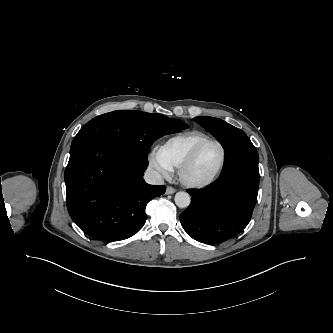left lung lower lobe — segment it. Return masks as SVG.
<instances>
[{
	"label": "left lung lower lobe",
	"mask_w": 333,
	"mask_h": 333,
	"mask_svg": "<svg viewBox=\"0 0 333 333\" xmlns=\"http://www.w3.org/2000/svg\"><path fill=\"white\" fill-rule=\"evenodd\" d=\"M224 171L213 183L188 190L191 204L180 214L184 230L193 239L217 244L241 233L251 220L259 186V156L247 136L226 148Z\"/></svg>",
	"instance_id": "1"
}]
</instances>
